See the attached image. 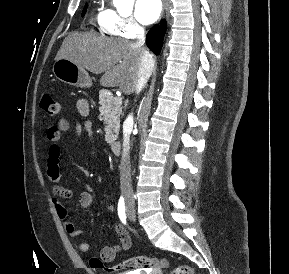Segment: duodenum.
I'll list each match as a JSON object with an SVG mask.
<instances>
[{"instance_id": "410a0bca", "label": "duodenum", "mask_w": 289, "mask_h": 274, "mask_svg": "<svg viewBox=\"0 0 289 274\" xmlns=\"http://www.w3.org/2000/svg\"><path fill=\"white\" fill-rule=\"evenodd\" d=\"M111 150L114 154H120L121 152V143L119 141H113L111 144Z\"/></svg>"}]
</instances>
